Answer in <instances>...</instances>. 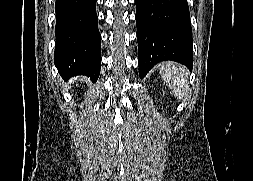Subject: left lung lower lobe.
<instances>
[{"instance_id": "1", "label": "left lung lower lobe", "mask_w": 253, "mask_h": 181, "mask_svg": "<svg viewBox=\"0 0 253 181\" xmlns=\"http://www.w3.org/2000/svg\"><path fill=\"white\" fill-rule=\"evenodd\" d=\"M139 76L164 60L193 66L187 0H135Z\"/></svg>"}]
</instances>
